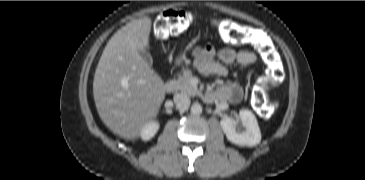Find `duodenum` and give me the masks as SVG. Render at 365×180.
I'll list each match as a JSON object with an SVG mask.
<instances>
[{
  "instance_id": "duodenum-1",
  "label": "duodenum",
  "mask_w": 365,
  "mask_h": 180,
  "mask_svg": "<svg viewBox=\"0 0 365 180\" xmlns=\"http://www.w3.org/2000/svg\"><path fill=\"white\" fill-rule=\"evenodd\" d=\"M177 87V84L175 81L173 80H170V81H167L165 84H164V90L168 93H171L173 91H175Z\"/></svg>"
}]
</instances>
